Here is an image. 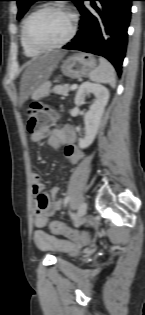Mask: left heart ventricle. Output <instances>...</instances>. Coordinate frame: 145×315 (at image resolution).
<instances>
[{
    "label": "left heart ventricle",
    "mask_w": 145,
    "mask_h": 315,
    "mask_svg": "<svg viewBox=\"0 0 145 315\" xmlns=\"http://www.w3.org/2000/svg\"><path fill=\"white\" fill-rule=\"evenodd\" d=\"M70 28L69 17L58 11H46L34 18L29 28L31 39L48 45L62 40Z\"/></svg>",
    "instance_id": "obj_1"
}]
</instances>
